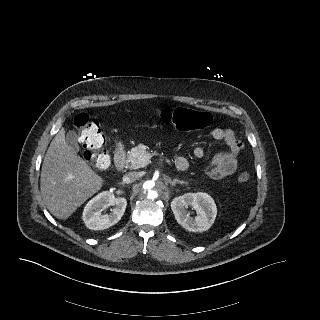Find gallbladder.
Instances as JSON below:
<instances>
[{"label":"gallbladder","mask_w":320,"mask_h":320,"mask_svg":"<svg viewBox=\"0 0 320 320\" xmlns=\"http://www.w3.org/2000/svg\"><path fill=\"white\" fill-rule=\"evenodd\" d=\"M66 141L68 143V145L75 151L78 152L79 151V146L76 142V133L73 130H70L67 133V137H66Z\"/></svg>","instance_id":"obj_1"}]
</instances>
